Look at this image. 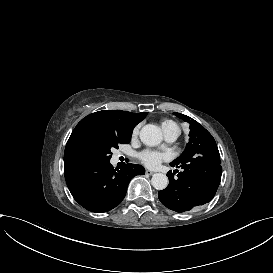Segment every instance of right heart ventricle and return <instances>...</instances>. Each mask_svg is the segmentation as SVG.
<instances>
[{
	"instance_id": "right-heart-ventricle-1",
	"label": "right heart ventricle",
	"mask_w": 273,
	"mask_h": 273,
	"mask_svg": "<svg viewBox=\"0 0 273 273\" xmlns=\"http://www.w3.org/2000/svg\"><path fill=\"white\" fill-rule=\"evenodd\" d=\"M161 129L163 130V132L165 130H170L172 132H175L177 134V137L180 134V129H179L178 125L175 122L170 121V120L163 121L161 123Z\"/></svg>"
}]
</instances>
